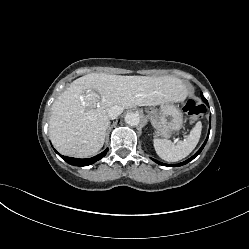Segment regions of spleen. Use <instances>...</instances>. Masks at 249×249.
<instances>
[{
    "label": "spleen",
    "mask_w": 249,
    "mask_h": 249,
    "mask_svg": "<svg viewBox=\"0 0 249 249\" xmlns=\"http://www.w3.org/2000/svg\"><path fill=\"white\" fill-rule=\"evenodd\" d=\"M202 124L197 122L185 140L172 143L169 140L155 139L157 154L167 162H177L187 157L197 146L201 136Z\"/></svg>",
    "instance_id": "1"
}]
</instances>
